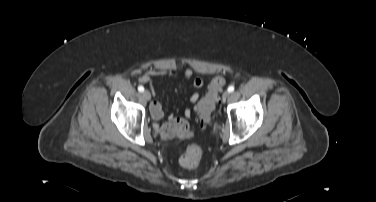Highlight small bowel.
I'll use <instances>...</instances> for the list:
<instances>
[{
    "label": "small bowel",
    "mask_w": 376,
    "mask_h": 202,
    "mask_svg": "<svg viewBox=\"0 0 376 202\" xmlns=\"http://www.w3.org/2000/svg\"><path fill=\"white\" fill-rule=\"evenodd\" d=\"M193 76V73L191 70H186L184 72V77L189 79ZM152 77H165L167 79H170L172 81H176L178 79V73L174 69H150L145 72L143 76L139 78V82L141 84H149L152 89V93L155 94L156 90L154 89L152 85ZM204 82L201 78L196 77L193 79V86L195 88V92H193L189 98L191 103H196L198 102L200 95L198 93V90L203 86ZM150 112L152 117L155 120H160L163 117V109L162 105L160 104L159 101L154 100L151 102L150 105ZM184 117L189 118L192 115V111L190 109H186L184 111ZM185 122V120L177 115H170L169 117V122L174 123V122ZM186 123V122H185ZM155 129H159V125H155Z\"/></svg>",
    "instance_id": "obj_1"
}]
</instances>
